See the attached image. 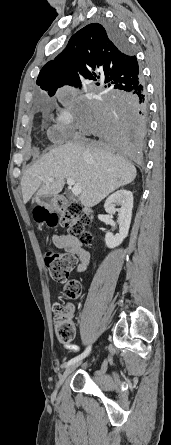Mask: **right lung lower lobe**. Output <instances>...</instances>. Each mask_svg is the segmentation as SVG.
Returning a JSON list of instances; mask_svg holds the SVG:
<instances>
[{"label":"right lung lower lobe","mask_w":171,"mask_h":445,"mask_svg":"<svg viewBox=\"0 0 171 445\" xmlns=\"http://www.w3.org/2000/svg\"><path fill=\"white\" fill-rule=\"evenodd\" d=\"M112 41L127 48V40L114 23L105 22ZM147 98L143 81L125 92H110L85 109L84 132L97 145L133 162L143 156L147 126Z\"/></svg>","instance_id":"98d812e1"}]
</instances>
